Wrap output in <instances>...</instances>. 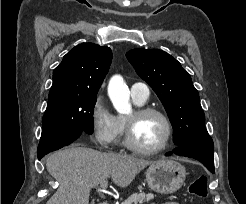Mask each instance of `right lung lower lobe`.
<instances>
[{
  "label": "right lung lower lobe",
  "mask_w": 246,
  "mask_h": 204,
  "mask_svg": "<svg viewBox=\"0 0 246 204\" xmlns=\"http://www.w3.org/2000/svg\"><path fill=\"white\" fill-rule=\"evenodd\" d=\"M43 156H41V157H38V159L40 160L41 158H42Z\"/></svg>",
  "instance_id": "right-lung-lower-lobe-1"
}]
</instances>
